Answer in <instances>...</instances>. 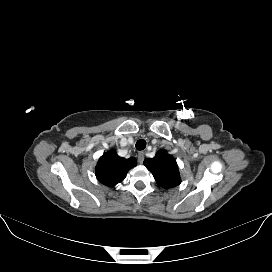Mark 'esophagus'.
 <instances>
[{
	"mask_svg": "<svg viewBox=\"0 0 272 272\" xmlns=\"http://www.w3.org/2000/svg\"><path fill=\"white\" fill-rule=\"evenodd\" d=\"M137 157H138V162H139L140 164H142L143 161H144V157H145L144 152H139Z\"/></svg>",
	"mask_w": 272,
	"mask_h": 272,
	"instance_id": "esophagus-1",
	"label": "esophagus"
}]
</instances>
